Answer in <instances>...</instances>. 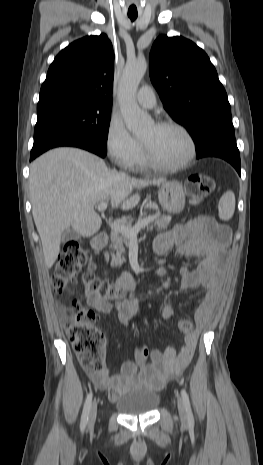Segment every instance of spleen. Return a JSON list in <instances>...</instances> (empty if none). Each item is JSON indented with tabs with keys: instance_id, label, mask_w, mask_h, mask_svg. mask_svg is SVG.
<instances>
[{
	"instance_id": "1",
	"label": "spleen",
	"mask_w": 263,
	"mask_h": 465,
	"mask_svg": "<svg viewBox=\"0 0 263 465\" xmlns=\"http://www.w3.org/2000/svg\"><path fill=\"white\" fill-rule=\"evenodd\" d=\"M235 210V195L232 191H227L222 195L218 204L219 218L229 220Z\"/></svg>"
}]
</instances>
